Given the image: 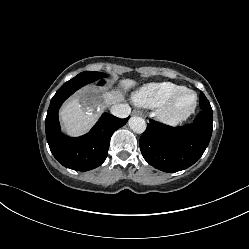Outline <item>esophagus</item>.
Segmentation results:
<instances>
[{"instance_id":"obj_1","label":"esophagus","mask_w":249,"mask_h":249,"mask_svg":"<svg viewBox=\"0 0 249 249\" xmlns=\"http://www.w3.org/2000/svg\"><path fill=\"white\" fill-rule=\"evenodd\" d=\"M133 115L143 116V113L139 110H134Z\"/></svg>"}]
</instances>
